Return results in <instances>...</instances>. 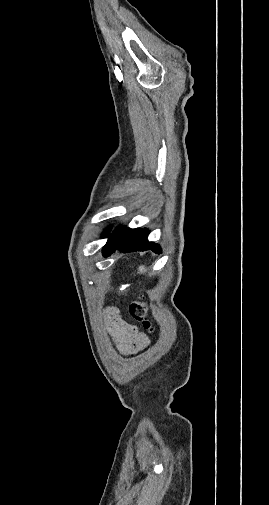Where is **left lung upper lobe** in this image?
<instances>
[{
	"label": "left lung upper lobe",
	"mask_w": 269,
	"mask_h": 505,
	"mask_svg": "<svg viewBox=\"0 0 269 505\" xmlns=\"http://www.w3.org/2000/svg\"><path fill=\"white\" fill-rule=\"evenodd\" d=\"M108 232H109V230H107V231L105 232L104 237L108 234Z\"/></svg>",
	"instance_id": "5c2ea615"
}]
</instances>
